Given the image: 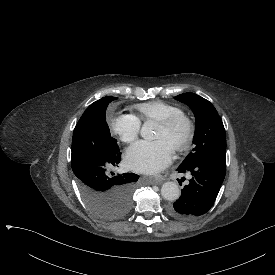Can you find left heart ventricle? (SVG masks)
Wrapping results in <instances>:
<instances>
[{
  "mask_svg": "<svg viewBox=\"0 0 275 275\" xmlns=\"http://www.w3.org/2000/svg\"><path fill=\"white\" fill-rule=\"evenodd\" d=\"M153 139L159 140V139H163L166 140L167 142H169L172 146L174 143V137L169 135L167 133V131L165 129H163L162 127H158V129L156 130Z\"/></svg>",
  "mask_w": 275,
  "mask_h": 275,
  "instance_id": "obj_1",
  "label": "left heart ventricle"
}]
</instances>
